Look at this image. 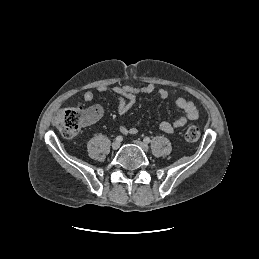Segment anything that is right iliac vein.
Segmentation results:
<instances>
[{
  "mask_svg": "<svg viewBox=\"0 0 259 259\" xmlns=\"http://www.w3.org/2000/svg\"><path fill=\"white\" fill-rule=\"evenodd\" d=\"M120 147V142L114 141L112 143V149L117 150Z\"/></svg>",
  "mask_w": 259,
  "mask_h": 259,
  "instance_id": "obj_1",
  "label": "right iliac vein"
}]
</instances>
